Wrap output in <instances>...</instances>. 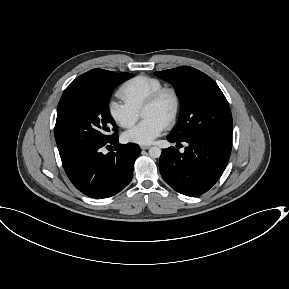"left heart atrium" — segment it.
I'll use <instances>...</instances> for the list:
<instances>
[{"label": "left heart atrium", "mask_w": 289, "mask_h": 289, "mask_svg": "<svg viewBox=\"0 0 289 289\" xmlns=\"http://www.w3.org/2000/svg\"><path fill=\"white\" fill-rule=\"evenodd\" d=\"M165 127L166 124L157 118H145L137 126L124 133L123 138L130 143L147 145L152 143Z\"/></svg>", "instance_id": "39dd6f15"}]
</instances>
